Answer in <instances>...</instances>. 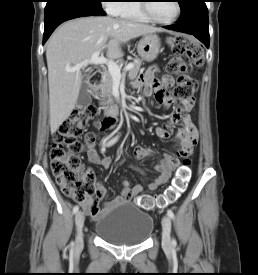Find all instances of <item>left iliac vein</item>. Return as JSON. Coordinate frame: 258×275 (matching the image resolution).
Returning <instances> with one entry per match:
<instances>
[{
  "instance_id": "left-iliac-vein-1",
  "label": "left iliac vein",
  "mask_w": 258,
  "mask_h": 275,
  "mask_svg": "<svg viewBox=\"0 0 258 275\" xmlns=\"http://www.w3.org/2000/svg\"><path fill=\"white\" fill-rule=\"evenodd\" d=\"M162 247L165 251H170L171 249V220L168 216H163L162 218Z\"/></svg>"
}]
</instances>
